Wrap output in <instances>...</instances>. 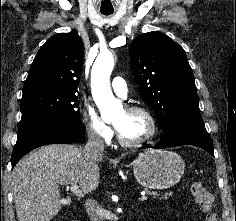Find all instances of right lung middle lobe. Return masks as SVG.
<instances>
[{
  "mask_svg": "<svg viewBox=\"0 0 236 221\" xmlns=\"http://www.w3.org/2000/svg\"><path fill=\"white\" fill-rule=\"evenodd\" d=\"M21 122L35 118H55L82 125L75 92L39 90L22 95Z\"/></svg>",
  "mask_w": 236,
  "mask_h": 221,
  "instance_id": "obj_1",
  "label": "right lung middle lobe"
}]
</instances>
